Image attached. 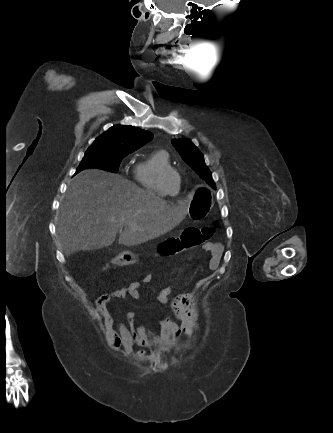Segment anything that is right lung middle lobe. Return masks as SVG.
Instances as JSON below:
<instances>
[{
    "mask_svg": "<svg viewBox=\"0 0 333 433\" xmlns=\"http://www.w3.org/2000/svg\"><path fill=\"white\" fill-rule=\"evenodd\" d=\"M128 154L109 148L90 146L76 173L87 168H100L116 173L122 159Z\"/></svg>",
    "mask_w": 333,
    "mask_h": 433,
    "instance_id": "obj_1",
    "label": "right lung middle lobe"
}]
</instances>
